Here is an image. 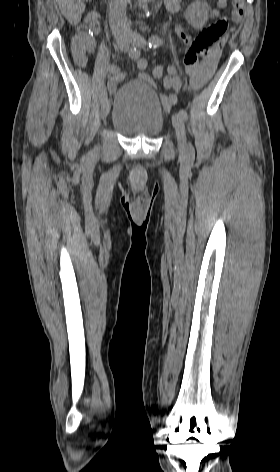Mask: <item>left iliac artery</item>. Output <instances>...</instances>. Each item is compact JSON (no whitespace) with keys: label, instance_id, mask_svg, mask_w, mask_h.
<instances>
[{"label":"left iliac artery","instance_id":"left-iliac-artery-1","mask_svg":"<svg viewBox=\"0 0 280 472\" xmlns=\"http://www.w3.org/2000/svg\"><path fill=\"white\" fill-rule=\"evenodd\" d=\"M162 41L160 37L157 35H153L148 39V45L150 48H157L161 45ZM167 71L170 75L171 86L175 91H179L182 87V82L180 77L177 74V70L175 66L170 65L167 67ZM178 115L183 119L186 120L188 118L187 112L184 109H180Z\"/></svg>","mask_w":280,"mask_h":472}]
</instances>
